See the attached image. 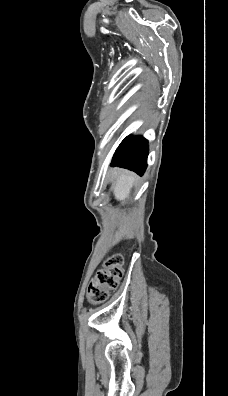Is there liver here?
Segmentation results:
<instances>
[{"label": "liver", "mask_w": 228, "mask_h": 396, "mask_svg": "<svg viewBox=\"0 0 228 396\" xmlns=\"http://www.w3.org/2000/svg\"><path fill=\"white\" fill-rule=\"evenodd\" d=\"M117 171H114V176L117 177ZM135 177L132 174L123 172L117 177L114 186V197L116 200L121 201L122 204L129 198L131 189L134 185Z\"/></svg>", "instance_id": "6515ba94"}]
</instances>
